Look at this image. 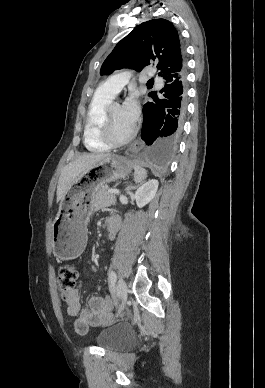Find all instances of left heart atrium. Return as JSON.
Masks as SVG:
<instances>
[{
	"label": "left heart atrium",
	"instance_id": "1",
	"mask_svg": "<svg viewBox=\"0 0 265 388\" xmlns=\"http://www.w3.org/2000/svg\"><path fill=\"white\" fill-rule=\"evenodd\" d=\"M125 120L133 125L137 122L140 116V107L135 97H130L126 100L122 107Z\"/></svg>",
	"mask_w": 265,
	"mask_h": 388
}]
</instances>
